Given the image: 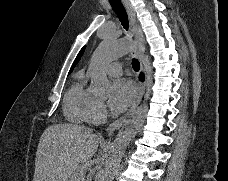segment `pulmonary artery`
Returning <instances> with one entry per match:
<instances>
[{
    "mask_svg": "<svg viewBox=\"0 0 228 181\" xmlns=\"http://www.w3.org/2000/svg\"><path fill=\"white\" fill-rule=\"evenodd\" d=\"M121 68V65H108V70L120 71Z\"/></svg>",
    "mask_w": 228,
    "mask_h": 181,
    "instance_id": "pulmonary-artery-1",
    "label": "pulmonary artery"
}]
</instances>
